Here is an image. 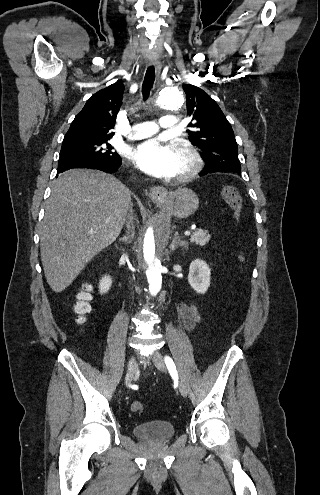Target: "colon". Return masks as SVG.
<instances>
[{"mask_svg": "<svg viewBox=\"0 0 320 495\" xmlns=\"http://www.w3.org/2000/svg\"><path fill=\"white\" fill-rule=\"evenodd\" d=\"M222 196L229 207L234 211L236 216L240 215L241 211V198L238 195L236 189L232 185H225L222 188ZM240 260L242 263L245 261L244 253H241ZM91 310L90 294L88 291H81L78 294V300L75 304V312L80 319L84 318ZM131 411L140 415L144 411V405L141 402L135 401L131 405Z\"/></svg>", "mask_w": 320, "mask_h": 495, "instance_id": "5ec220e1", "label": "colon"}]
</instances>
